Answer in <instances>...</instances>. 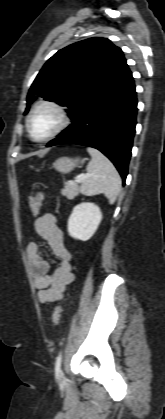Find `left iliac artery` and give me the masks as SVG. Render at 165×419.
Masks as SVG:
<instances>
[{
  "mask_svg": "<svg viewBox=\"0 0 165 419\" xmlns=\"http://www.w3.org/2000/svg\"><path fill=\"white\" fill-rule=\"evenodd\" d=\"M61 360H62V353L58 355L55 362V374L58 375L60 372V366H61Z\"/></svg>",
  "mask_w": 165,
  "mask_h": 419,
  "instance_id": "44dca946",
  "label": "left iliac artery"
}]
</instances>
